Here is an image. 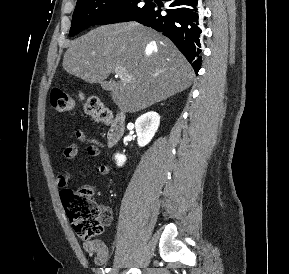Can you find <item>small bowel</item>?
<instances>
[{
	"mask_svg": "<svg viewBox=\"0 0 289 274\" xmlns=\"http://www.w3.org/2000/svg\"><path fill=\"white\" fill-rule=\"evenodd\" d=\"M73 136L80 142L88 143L86 152L91 157H96L100 154L99 142L96 139L88 137L83 131L75 130ZM79 146L76 143H72L64 148L62 155L65 159H73L78 155ZM97 172L105 175L109 172V167L105 164L97 165ZM70 173L64 172L56 176L55 182L57 187L63 189L67 186L70 180ZM85 252L94 256V261L98 266L104 265L109 258V250L107 245L101 240H86L83 243Z\"/></svg>",
	"mask_w": 289,
	"mask_h": 274,
	"instance_id": "1",
	"label": "small bowel"
}]
</instances>
